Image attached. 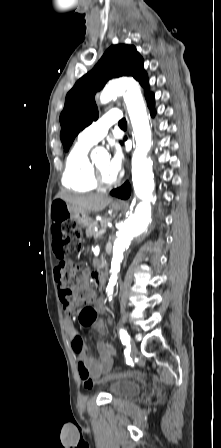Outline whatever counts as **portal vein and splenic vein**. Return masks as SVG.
<instances>
[{"instance_id":"18ae733b","label":"portal vein and splenic vein","mask_w":221,"mask_h":448,"mask_svg":"<svg viewBox=\"0 0 221 448\" xmlns=\"http://www.w3.org/2000/svg\"><path fill=\"white\" fill-rule=\"evenodd\" d=\"M106 230H107V226H104L102 229H100V230L97 232V237H98V236H102L103 234H105V233H106Z\"/></svg>"}]
</instances>
